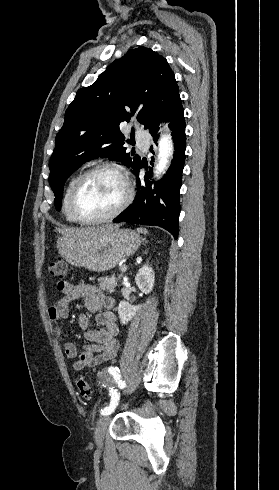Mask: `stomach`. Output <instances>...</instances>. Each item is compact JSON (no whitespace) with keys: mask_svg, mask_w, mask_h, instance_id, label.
I'll return each mask as SVG.
<instances>
[{"mask_svg":"<svg viewBox=\"0 0 279 490\" xmlns=\"http://www.w3.org/2000/svg\"><path fill=\"white\" fill-rule=\"evenodd\" d=\"M142 238L134 230H109L107 234H92L73 240L62 236L57 242L59 256L74 268L89 272H108L121 260L137 252Z\"/></svg>","mask_w":279,"mask_h":490,"instance_id":"1","label":"stomach"}]
</instances>
